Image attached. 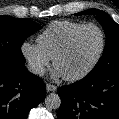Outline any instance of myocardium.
Returning <instances> with one entry per match:
<instances>
[{"label":"myocardium","mask_w":119,"mask_h":119,"mask_svg":"<svg viewBox=\"0 0 119 119\" xmlns=\"http://www.w3.org/2000/svg\"><path fill=\"white\" fill-rule=\"evenodd\" d=\"M89 28H94L100 33V37H101L100 49H99L96 57L94 58V60L91 62V64L85 70H83L82 72H80L76 75L64 76V79L67 81L76 82V81L82 80L85 77H87L98 65V63L100 62V60L104 54L105 47H106V36H105L103 29L100 26L93 24V23L84 24L83 26H81L80 28L75 30L69 36V38L66 40L64 45L55 54V56L53 58L54 67L56 68L58 60L69 51V49L71 48V46H72L73 42L75 41V39L77 38V36L84 30L89 29Z\"/></svg>","instance_id":"1"}]
</instances>
